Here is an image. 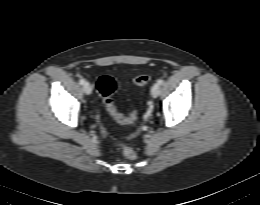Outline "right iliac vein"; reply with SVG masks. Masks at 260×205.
<instances>
[{
    "label": "right iliac vein",
    "instance_id": "1",
    "mask_svg": "<svg viewBox=\"0 0 260 205\" xmlns=\"http://www.w3.org/2000/svg\"><path fill=\"white\" fill-rule=\"evenodd\" d=\"M84 92L87 95H90L92 93V87L89 82H86L83 86Z\"/></svg>",
    "mask_w": 260,
    "mask_h": 205
}]
</instances>
